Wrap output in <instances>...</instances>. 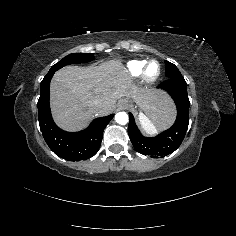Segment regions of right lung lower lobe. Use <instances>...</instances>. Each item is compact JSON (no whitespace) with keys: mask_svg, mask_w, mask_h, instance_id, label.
<instances>
[{"mask_svg":"<svg viewBox=\"0 0 236 236\" xmlns=\"http://www.w3.org/2000/svg\"><path fill=\"white\" fill-rule=\"evenodd\" d=\"M56 71H50L41 82L38 100V118L42 135L50 149L59 157L69 161L86 160L99 150L105 127L114 114L95 119L90 126L80 132H66L53 121L49 107V86Z\"/></svg>","mask_w":236,"mask_h":236,"instance_id":"obj_1","label":"right lung lower lobe"}]
</instances>
